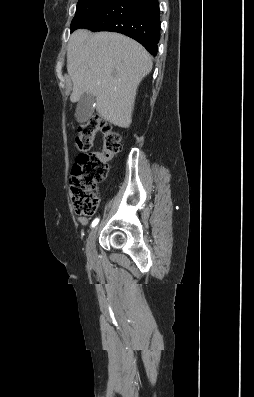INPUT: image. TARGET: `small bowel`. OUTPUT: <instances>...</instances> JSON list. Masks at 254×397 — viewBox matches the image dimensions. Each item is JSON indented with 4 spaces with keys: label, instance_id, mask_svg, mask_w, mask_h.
Listing matches in <instances>:
<instances>
[{
    "label": "small bowel",
    "instance_id": "c3829d8e",
    "mask_svg": "<svg viewBox=\"0 0 254 397\" xmlns=\"http://www.w3.org/2000/svg\"><path fill=\"white\" fill-rule=\"evenodd\" d=\"M78 221L82 224V225H87L88 224V219L86 217H79Z\"/></svg>",
    "mask_w": 254,
    "mask_h": 397
}]
</instances>
